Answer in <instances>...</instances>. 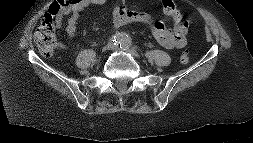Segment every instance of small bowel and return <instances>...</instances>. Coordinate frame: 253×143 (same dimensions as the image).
Wrapping results in <instances>:
<instances>
[{"label": "small bowel", "mask_w": 253, "mask_h": 143, "mask_svg": "<svg viewBox=\"0 0 253 143\" xmlns=\"http://www.w3.org/2000/svg\"><path fill=\"white\" fill-rule=\"evenodd\" d=\"M109 0H72L63 5L55 15V24L59 29H63L65 36L72 39L77 31V23L80 13L89 6L103 5ZM129 0H117L112 9L111 20L115 27H122L130 23H142L149 26L156 41L167 49H181L186 45V37L177 31L178 23L183 20L182 15L176 8L172 0H163V12L170 16L175 24L174 32L166 27L161 21L153 20L149 15L132 11L129 9ZM68 16L66 23L64 17Z\"/></svg>", "instance_id": "c3829d8e"}]
</instances>
